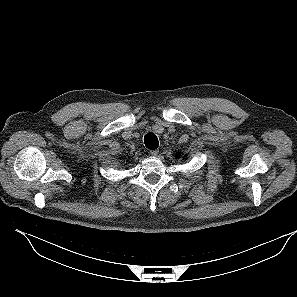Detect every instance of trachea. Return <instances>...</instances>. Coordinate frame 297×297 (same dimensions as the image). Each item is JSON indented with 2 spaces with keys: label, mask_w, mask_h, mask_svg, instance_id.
Wrapping results in <instances>:
<instances>
[{
  "label": "trachea",
  "mask_w": 297,
  "mask_h": 297,
  "mask_svg": "<svg viewBox=\"0 0 297 297\" xmlns=\"http://www.w3.org/2000/svg\"><path fill=\"white\" fill-rule=\"evenodd\" d=\"M144 143H145V146L151 150H154V149L158 148V146H159V141H158L157 136L151 132L147 133L144 136Z\"/></svg>",
  "instance_id": "1"
}]
</instances>
